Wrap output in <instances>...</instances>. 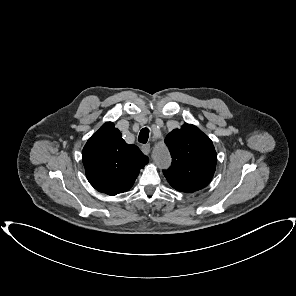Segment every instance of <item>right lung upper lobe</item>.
Wrapping results in <instances>:
<instances>
[{
  "instance_id": "right-lung-upper-lobe-1",
  "label": "right lung upper lobe",
  "mask_w": 296,
  "mask_h": 296,
  "mask_svg": "<svg viewBox=\"0 0 296 296\" xmlns=\"http://www.w3.org/2000/svg\"><path fill=\"white\" fill-rule=\"evenodd\" d=\"M82 159L90 184L111 196L128 191L149 161L136 145L122 139L112 122L89 138Z\"/></svg>"
}]
</instances>
